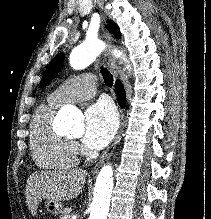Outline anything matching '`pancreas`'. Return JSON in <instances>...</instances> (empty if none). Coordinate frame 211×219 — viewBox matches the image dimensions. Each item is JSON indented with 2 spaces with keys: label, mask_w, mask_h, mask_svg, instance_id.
I'll list each match as a JSON object with an SVG mask.
<instances>
[{
  "label": "pancreas",
  "mask_w": 211,
  "mask_h": 219,
  "mask_svg": "<svg viewBox=\"0 0 211 219\" xmlns=\"http://www.w3.org/2000/svg\"><path fill=\"white\" fill-rule=\"evenodd\" d=\"M70 212V208H64L59 216V219H71Z\"/></svg>",
  "instance_id": "obj_1"
}]
</instances>
